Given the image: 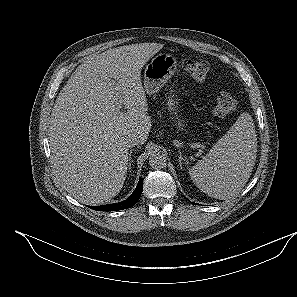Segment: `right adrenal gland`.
Returning <instances> with one entry per match:
<instances>
[{"mask_svg": "<svg viewBox=\"0 0 297 297\" xmlns=\"http://www.w3.org/2000/svg\"><path fill=\"white\" fill-rule=\"evenodd\" d=\"M131 154H132V150H131L130 153H129V163H128L129 170H131V164H132V157H131Z\"/></svg>", "mask_w": 297, "mask_h": 297, "instance_id": "2a0ac1e0", "label": "right adrenal gland"}]
</instances>
